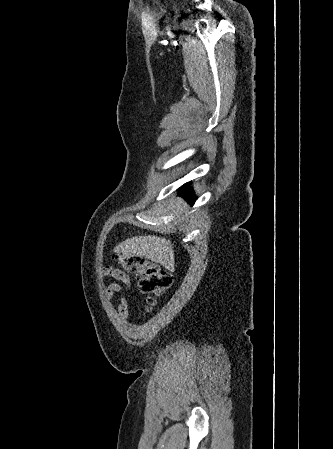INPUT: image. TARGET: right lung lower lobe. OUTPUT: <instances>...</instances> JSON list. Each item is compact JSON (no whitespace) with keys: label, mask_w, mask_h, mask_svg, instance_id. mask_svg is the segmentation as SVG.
Here are the masks:
<instances>
[{"label":"right lung lower lobe","mask_w":333,"mask_h":449,"mask_svg":"<svg viewBox=\"0 0 333 449\" xmlns=\"http://www.w3.org/2000/svg\"><path fill=\"white\" fill-rule=\"evenodd\" d=\"M190 191L191 190V187H190V184L189 183H186V184H184L181 188H180V191L181 192H183V191ZM196 200V197H190V202H192V204L194 203V201Z\"/></svg>","instance_id":"1"}]
</instances>
